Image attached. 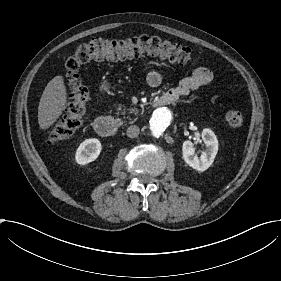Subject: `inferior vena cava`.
I'll return each instance as SVG.
<instances>
[{
  "label": "inferior vena cava",
  "instance_id": "obj_1",
  "mask_svg": "<svg viewBox=\"0 0 281 281\" xmlns=\"http://www.w3.org/2000/svg\"><path fill=\"white\" fill-rule=\"evenodd\" d=\"M140 129L136 125H132L127 129V136L130 138H135L139 135Z\"/></svg>",
  "mask_w": 281,
  "mask_h": 281
}]
</instances>
